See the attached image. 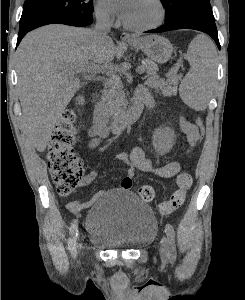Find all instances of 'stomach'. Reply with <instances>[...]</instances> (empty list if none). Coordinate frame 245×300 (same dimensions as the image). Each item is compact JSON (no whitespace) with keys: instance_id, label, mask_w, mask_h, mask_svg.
Returning a JSON list of instances; mask_svg holds the SVG:
<instances>
[{"instance_id":"1","label":"stomach","mask_w":245,"mask_h":300,"mask_svg":"<svg viewBox=\"0 0 245 300\" xmlns=\"http://www.w3.org/2000/svg\"><path fill=\"white\" fill-rule=\"evenodd\" d=\"M131 45L142 50L152 61L160 64L166 63L173 53V45L170 41L158 35L139 38Z\"/></svg>"}]
</instances>
